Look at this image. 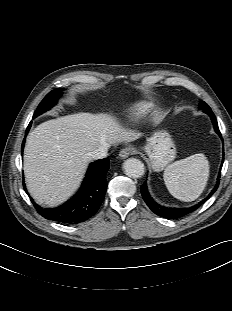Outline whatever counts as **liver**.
Masks as SVG:
<instances>
[{
	"label": "liver",
	"instance_id": "liver-1",
	"mask_svg": "<svg viewBox=\"0 0 232 311\" xmlns=\"http://www.w3.org/2000/svg\"><path fill=\"white\" fill-rule=\"evenodd\" d=\"M137 137L106 114L76 113L41 123L25 145L24 173L29 193L38 204L60 205L78 189L90 152Z\"/></svg>",
	"mask_w": 232,
	"mask_h": 311
}]
</instances>
